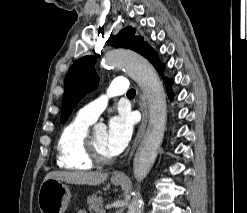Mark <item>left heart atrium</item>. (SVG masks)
<instances>
[{"mask_svg": "<svg viewBox=\"0 0 247 213\" xmlns=\"http://www.w3.org/2000/svg\"><path fill=\"white\" fill-rule=\"evenodd\" d=\"M133 132L130 116L125 113L113 116L108 123L106 148L112 156L120 154L128 145Z\"/></svg>", "mask_w": 247, "mask_h": 213, "instance_id": "1", "label": "left heart atrium"}]
</instances>
